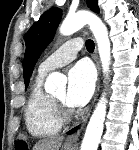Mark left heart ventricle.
Masks as SVG:
<instances>
[{
	"label": "left heart ventricle",
	"instance_id": "left-heart-ventricle-1",
	"mask_svg": "<svg viewBox=\"0 0 139 150\" xmlns=\"http://www.w3.org/2000/svg\"><path fill=\"white\" fill-rule=\"evenodd\" d=\"M66 95H67V93H66V91L63 89V90L57 92V93L54 95V97H55L56 99H58V100H60V101L66 103Z\"/></svg>",
	"mask_w": 139,
	"mask_h": 150
}]
</instances>
